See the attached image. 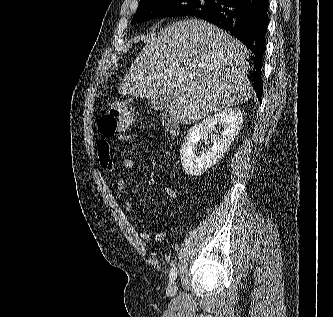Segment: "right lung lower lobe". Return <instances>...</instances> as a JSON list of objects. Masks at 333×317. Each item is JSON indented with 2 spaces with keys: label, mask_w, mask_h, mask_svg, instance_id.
I'll use <instances>...</instances> for the list:
<instances>
[{
  "label": "right lung lower lobe",
  "mask_w": 333,
  "mask_h": 317,
  "mask_svg": "<svg viewBox=\"0 0 333 317\" xmlns=\"http://www.w3.org/2000/svg\"><path fill=\"white\" fill-rule=\"evenodd\" d=\"M268 0H226L221 6L195 16L208 21L243 42L254 54L253 87L261 102V76L266 32L268 27Z\"/></svg>",
  "instance_id": "1"
}]
</instances>
